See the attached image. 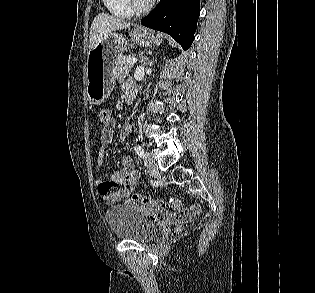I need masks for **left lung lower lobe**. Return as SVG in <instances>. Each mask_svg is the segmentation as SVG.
Listing matches in <instances>:
<instances>
[{"label": "left lung lower lobe", "mask_w": 315, "mask_h": 293, "mask_svg": "<svg viewBox=\"0 0 315 293\" xmlns=\"http://www.w3.org/2000/svg\"><path fill=\"white\" fill-rule=\"evenodd\" d=\"M199 14L200 0H160L142 19V25L171 35L188 49L194 40Z\"/></svg>", "instance_id": "left-lung-lower-lobe-1"}]
</instances>
